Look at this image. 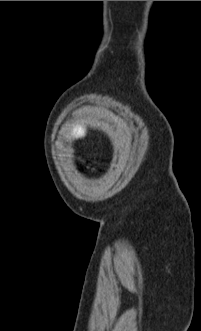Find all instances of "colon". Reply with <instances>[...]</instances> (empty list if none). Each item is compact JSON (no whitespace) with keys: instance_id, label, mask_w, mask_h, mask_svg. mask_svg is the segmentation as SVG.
I'll return each mask as SVG.
<instances>
[{"instance_id":"5ec220e1","label":"colon","mask_w":201,"mask_h":331,"mask_svg":"<svg viewBox=\"0 0 201 331\" xmlns=\"http://www.w3.org/2000/svg\"><path fill=\"white\" fill-rule=\"evenodd\" d=\"M81 127H82L81 122L71 121L67 125V130L70 135L79 134L81 132Z\"/></svg>"}]
</instances>
